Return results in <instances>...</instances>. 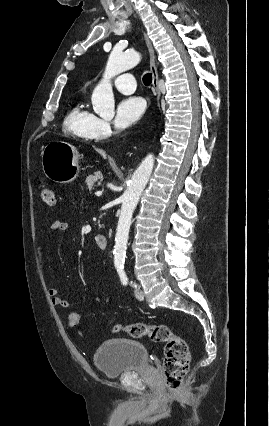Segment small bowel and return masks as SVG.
Here are the masks:
<instances>
[{
  "label": "small bowel",
  "instance_id": "1",
  "mask_svg": "<svg viewBox=\"0 0 269 426\" xmlns=\"http://www.w3.org/2000/svg\"><path fill=\"white\" fill-rule=\"evenodd\" d=\"M68 223L65 221H61V220H56L51 224V232L53 233H61V232H65L68 230ZM40 256H41V260L42 263L45 265L46 264V257H45V253H44V249L41 247L40 248ZM48 293L51 297L52 303L55 307L57 308H62V309H67L69 308L70 304L68 302V300H66L65 298H63L60 295V291L55 288V287H51L48 290ZM95 301L97 303H104L106 305L111 304V297L110 296H106V297H102V296H96ZM68 319L70 322H74L75 320L79 319V315L77 313H70L68 315Z\"/></svg>",
  "mask_w": 269,
  "mask_h": 426
}]
</instances>
